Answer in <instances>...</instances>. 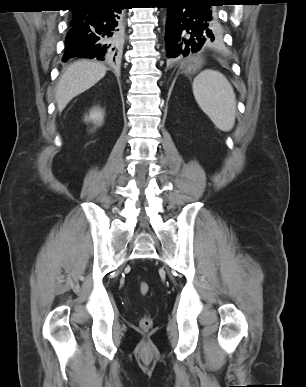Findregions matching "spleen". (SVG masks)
I'll list each match as a JSON object with an SVG mask.
<instances>
[{
	"mask_svg": "<svg viewBox=\"0 0 306 387\" xmlns=\"http://www.w3.org/2000/svg\"><path fill=\"white\" fill-rule=\"evenodd\" d=\"M192 89L199 107L214 125L221 131H230L235 124L236 96L227 78L206 69L195 77Z\"/></svg>",
	"mask_w": 306,
	"mask_h": 387,
	"instance_id": "1",
	"label": "spleen"
}]
</instances>
